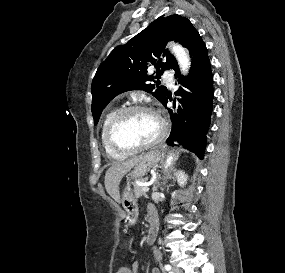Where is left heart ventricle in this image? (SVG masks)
<instances>
[{"label":"left heart ventricle","mask_w":285,"mask_h":273,"mask_svg":"<svg viewBox=\"0 0 285 273\" xmlns=\"http://www.w3.org/2000/svg\"><path fill=\"white\" fill-rule=\"evenodd\" d=\"M159 133L157 120L148 112L137 111L126 115L120 122L116 138L125 146H136L153 140Z\"/></svg>","instance_id":"left-heart-ventricle-1"}]
</instances>
